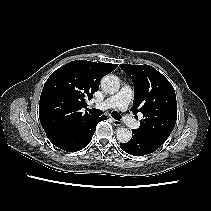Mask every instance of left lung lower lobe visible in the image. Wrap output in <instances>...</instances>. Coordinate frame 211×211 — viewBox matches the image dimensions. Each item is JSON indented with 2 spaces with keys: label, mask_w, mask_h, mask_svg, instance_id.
<instances>
[{
  "label": "left lung lower lobe",
  "mask_w": 211,
  "mask_h": 211,
  "mask_svg": "<svg viewBox=\"0 0 211 211\" xmlns=\"http://www.w3.org/2000/svg\"><path fill=\"white\" fill-rule=\"evenodd\" d=\"M161 145L156 142L138 135L132 130V138L127 143H120L122 150L134 156H143L156 151Z\"/></svg>",
  "instance_id": "left-lung-lower-lobe-1"
}]
</instances>
